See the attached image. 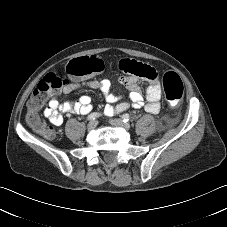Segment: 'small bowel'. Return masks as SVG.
Segmentation results:
<instances>
[{
  "label": "small bowel",
  "mask_w": 227,
  "mask_h": 227,
  "mask_svg": "<svg viewBox=\"0 0 227 227\" xmlns=\"http://www.w3.org/2000/svg\"><path fill=\"white\" fill-rule=\"evenodd\" d=\"M129 59L120 61V69L125 73L119 77V83L129 89L128 98L126 101L111 91V83L107 78L99 80L89 79L69 83L62 89V93L70 94L82 87H88L95 90H100L107 101L104 112L106 116H113L127 111L130 107L139 108L144 106L145 110L152 114H157L160 111L161 88L158 77L148 80L146 90V103L138 88V77L135 74L128 72ZM93 110L92 98L89 95H83L75 101L60 102L55 94L49 101L48 106L44 109L43 115L48 119L52 126H60L63 122L64 114H82L87 115Z\"/></svg>",
  "instance_id": "obj_1"
}]
</instances>
